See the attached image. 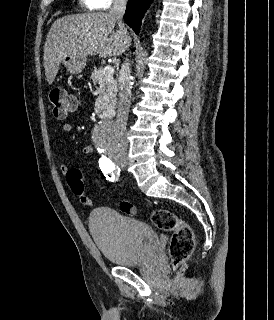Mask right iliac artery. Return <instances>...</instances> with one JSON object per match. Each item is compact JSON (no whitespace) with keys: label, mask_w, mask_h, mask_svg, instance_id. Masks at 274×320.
I'll return each mask as SVG.
<instances>
[{"label":"right iliac artery","mask_w":274,"mask_h":320,"mask_svg":"<svg viewBox=\"0 0 274 320\" xmlns=\"http://www.w3.org/2000/svg\"><path fill=\"white\" fill-rule=\"evenodd\" d=\"M99 166L104 174L107 175V179L110 181H114L120 175V169L116 167L108 158L100 159Z\"/></svg>","instance_id":"right-iliac-artery-1"}]
</instances>
